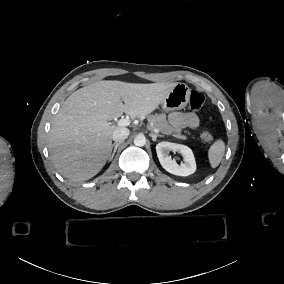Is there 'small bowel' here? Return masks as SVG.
<instances>
[{"label":"small bowel","instance_id":"obj_1","mask_svg":"<svg viewBox=\"0 0 284 284\" xmlns=\"http://www.w3.org/2000/svg\"><path fill=\"white\" fill-rule=\"evenodd\" d=\"M168 120L176 130L185 128L197 129L199 127V119L192 112H172L168 115Z\"/></svg>","mask_w":284,"mask_h":284}]
</instances>
